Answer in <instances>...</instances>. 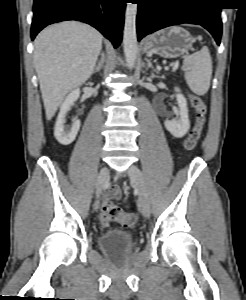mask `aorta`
I'll use <instances>...</instances> for the list:
<instances>
[{"mask_svg":"<svg viewBox=\"0 0 246 300\" xmlns=\"http://www.w3.org/2000/svg\"><path fill=\"white\" fill-rule=\"evenodd\" d=\"M136 17L137 4L127 3L125 10L123 45L124 54L129 69H132L134 67L138 54Z\"/></svg>","mask_w":246,"mask_h":300,"instance_id":"762f6f07","label":"aorta"}]
</instances>
